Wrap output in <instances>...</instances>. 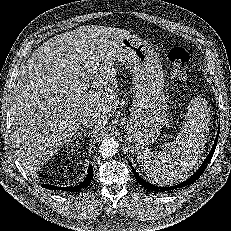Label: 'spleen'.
I'll return each mask as SVG.
<instances>
[{"mask_svg": "<svg viewBox=\"0 0 231 231\" xmlns=\"http://www.w3.org/2000/svg\"><path fill=\"white\" fill-rule=\"evenodd\" d=\"M208 121V113L201 99H193L175 141L164 144L159 151L137 153L139 167L145 176L162 186L173 185L184 179L204 151Z\"/></svg>", "mask_w": 231, "mask_h": 231, "instance_id": "1", "label": "spleen"}]
</instances>
